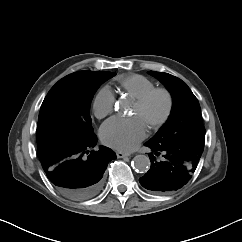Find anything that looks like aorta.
<instances>
[{
	"mask_svg": "<svg viewBox=\"0 0 242 242\" xmlns=\"http://www.w3.org/2000/svg\"><path fill=\"white\" fill-rule=\"evenodd\" d=\"M134 168L140 173H146L150 167V159L146 155H136L133 161Z\"/></svg>",
	"mask_w": 242,
	"mask_h": 242,
	"instance_id": "obj_1",
	"label": "aorta"
}]
</instances>
